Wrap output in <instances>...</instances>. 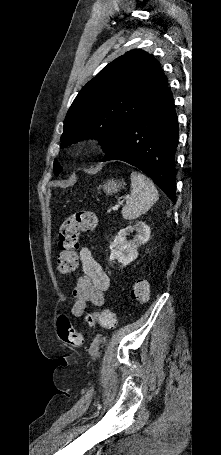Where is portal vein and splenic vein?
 I'll list each match as a JSON object with an SVG mask.
<instances>
[{
    "mask_svg": "<svg viewBox=\"0 0 221 455\" xmlns=\"http://www.w3.org/2000/svg\"><path fill=\"white\" fill-rule=\"evenodd\" d=\"M119 206H120V205H115V206H113V207H112V210H113V211L118 210Z\"/></svg>",
    "mask_w": 221,
    "mask_h": 455,
    "instance_id": "18ae733b",
    "label": "portal vein and splenic vein"
}]
</instances>
